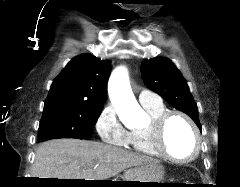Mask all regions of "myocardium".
I'll return each instance as SVG.
<instances>
[{
	"mask_svg": "<svg viewBox=\"0 0 240 187\" xmlns=\"http://www.w3.org/2000/svg\"><path fill=\"white\" fill-rule=\"evenodd\" d=\"M174 116H178L184 119L189 125V127L191 128L194 135V139H195L194 152L190 157L185 159H179L174 157L166 150L164 146L165 128L168 121ZM148 132H149L151 144L154 150L158 153L159 156H161L166 160H169L177 164H186V163L193 162L200 155L202 140H201L199 129L195 124V122L191 119V117L181 111H177V110L165 111L159 117L155 118L150 122V124L148 125Z\"/></svg>",
	"mask_w": 240,
	"mask_h": 187,
	"instance_id": "myocardium-1",
	"label": "myocardium"
}]
</instances>
